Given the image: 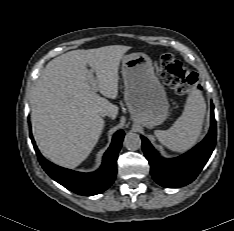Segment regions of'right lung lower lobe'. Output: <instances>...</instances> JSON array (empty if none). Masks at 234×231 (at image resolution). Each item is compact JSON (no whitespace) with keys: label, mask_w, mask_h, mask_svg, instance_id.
I'll return each mask as SVG.
<instances>
[{"label":"right lung lower lobe","mask_w":234,"mask_h":231,"mask_svg":"<svg viewBox=\"0 0 234 231\" xmlns=\"http://www.w3.org/2000/svg\"><path fill=\"white\" fill-rule=\"evenodd\" d=\"M30 137L43 169L52 179L68 190L79 195L91 196L105 191L114 182L118 152L120 151L124 137V132L122 130L115 133L110 147L104 154L101 167L93 173L76 172L49 162L40 154L31 132Z\"/></svg>","instance_id":"98d812e1"}]
</instances>
